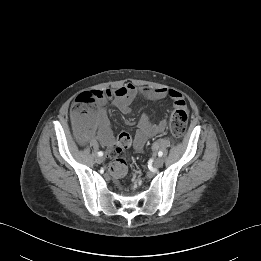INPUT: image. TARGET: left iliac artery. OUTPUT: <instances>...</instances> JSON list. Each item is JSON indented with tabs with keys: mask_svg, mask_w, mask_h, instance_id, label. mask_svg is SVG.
I'll list each match as a JSON object with an SVG mask.
<instances>
[{
	"mask_svg": "<svg viewBox=\"0 0 261 261\" xmlns=\"http://www.w3.org/2000/svg\"><path fill=\"white\" fill-rule=\"evenodd\" d=\"M162 155H163V152H162V151H159V152H158V156H159V157H162Z\"/></svg>",
	"mask_w": 261,
	"mask_h": 261,
	"instance_id": "obj_1",
	"label": "left iliac artery"
}]
</instances>
